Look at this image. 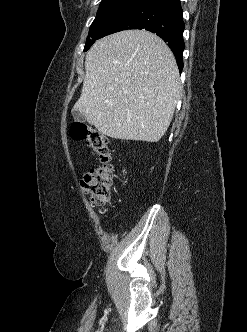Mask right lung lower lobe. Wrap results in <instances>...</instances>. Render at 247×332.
<instances>
[{"instance_id": "obj_1", "label": "right lung lower lobe", "mask_w": 247, "mask_h": 332, "mask_svg": "<svg viewBox=\"0 0 247 332\" xmlns=\"http://www.w3.org/2000/svg\"><path fill=\"white\" fill-rule=\"evenodd\" d=\"M129 29L156 33L167 42L176 57L179 71H182L185 25L180 0H148L110 24L100 38Z\"/></svg>"}]
</instances>
